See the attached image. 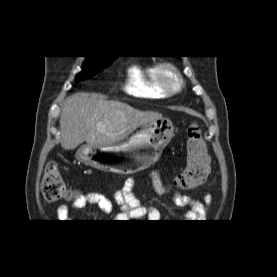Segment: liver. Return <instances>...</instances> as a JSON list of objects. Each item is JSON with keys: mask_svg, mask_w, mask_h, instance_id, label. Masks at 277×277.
Listing matches in <instances>:
<instances>
[{"mask_svg": "<svg viewBox=\"0 0 277 277\" xmlns=\"http://www.w3.org/2000/svg\"><path fill=\"white\" fill-rule=\"evenodd\" d=\"M162 119L153 111H140L118 101H107L97 94L77 93L65 100L61 116V146L65 150L87 145H115L138 127Z\"/></svg>", "mask_w": 277, "mask_h": 277, "instance_id": "1", "label": "liver"}]
</instances>
